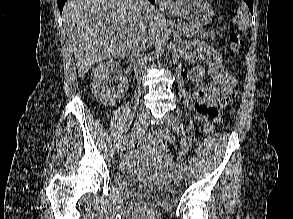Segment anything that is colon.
Segmentation results:
<instances>
[{
    "label": "colon",
    "mask_w": 293,
    "mask_h": 219,
    "mask_svg": "<svg viewBox=\"0 0 293 219\" xmlns=\"http://www.w3.org/2000/svg\"><path fill=\"white\" fill-rule=\"evenodd\" d=\"M229 42L230 49L233 53L238 52L244 46L243 38L234 31H230L229 33ZM215 58L216 61L222 63L220 54H216ZM200 111L205 113L207 112V108L200 107ZM204 128L207 134H211L214 130V125L212 123H207L204 125ZM152 140L157 150L161 153L168 152L170 146H172L175 142V138L168 130H162L157 134L153 135Z\"/></svg>",
    "instance_id": "5ec220e1"
}]
</instances>
